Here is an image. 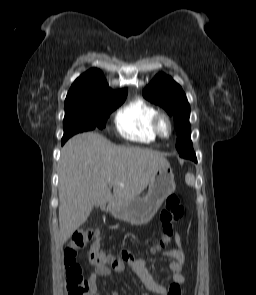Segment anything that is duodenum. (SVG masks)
<instances>
[{"instance_id": "410a0bca", "label": "duodenum", "mask_w": 256, "mask_h": 295, "mask_svg": "<svg viewBox=\"0 0 256 295\" xmlns=\"http://www.w3.org/2000/svg\"><path fill=\"white\" fill-rule=\"evenodd\" d=\"M115 206V203L112 200H108L104 205L103 208L107 211L111 210Z\"/></svg>"}]
</instances>
